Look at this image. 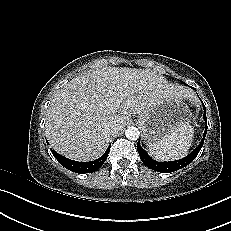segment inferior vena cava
Wrapping results in <instances>:
<instances>
[{
	"instance_id": "1",
	"label": "inferior vena cava",
	"mask_w": 231,
	"mask_h": 231,
	"mask_svg": "<svg viewBox=\"0 0 231 231\" xmlns=\"http://www.w3.org/2000/svg\"><path fill=\"white\" fill-rule=\"evenodd\" d=\"M107 130L111 134H117L118 129L115 126H108Z\"/></svg>"
}]
</instances>
